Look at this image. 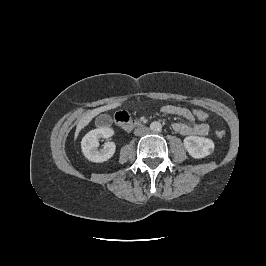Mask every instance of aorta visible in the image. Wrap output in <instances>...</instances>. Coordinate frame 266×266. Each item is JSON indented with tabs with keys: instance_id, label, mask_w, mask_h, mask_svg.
<instances>
[{
	"instance_id": "762f6f07",
	"label": "aorta",
	"mask_w": 266,
	"mask_h": 266,
	"mask_svg": "<svg viewBox=\"0 0 266 266\" xmlns=\"http://www.w3.org/2000/svg\"><path fill=\"white\" fill-rule=\"evenodd\" d=\"M150 129H151L152 131H154V132H158V131H161V129H162V125H161L160 122L155 121V122H152V123L150 124Z\"/></svg>"
}]
</instances>
